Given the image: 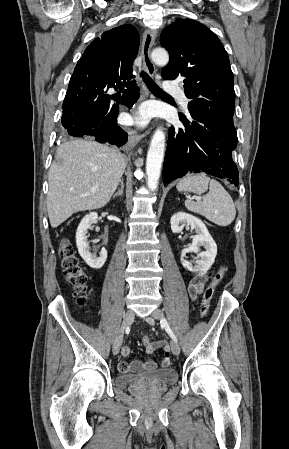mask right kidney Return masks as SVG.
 Returning <instances> with one entry per match:
<instances>
[{
    "instance_id": "ca27d5eb",
    "label": "right kidney",
    "mask_w": 289,
    "mask_h": 449,
    "mask_svg": "<svg viewBox=\"0 0 289 449\" xmlns=\"http://www.w3.org/2000/svg\"><path fill=\"white\" fill-rule=\"evenodd\" d=\"M98 215L96 212H91L84 216L81 220L76 232V245L78 252L86 264L93 269H100L103 267L107 259V251L102 248L99 256L90 253V246L87 242V230L91 228L92 224L97 223Z\"/></svg>"
}]
</instances>
